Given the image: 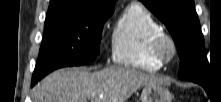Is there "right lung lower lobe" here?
Segmentation results:
<instances>
[{"label":"right lung lower lobe","instance_id":"1","mask_svg":"<svg viewBox=\"0 0 221 102\" xmlns=\"http://www.w3.org/2000/svg\"><path fill=\"white\" fill-rule=\"evenodd\" d=\"M40 79L32 78V86H34Z\"/></svg>","mask_w":221,"mask_h":102}]
</instances>
